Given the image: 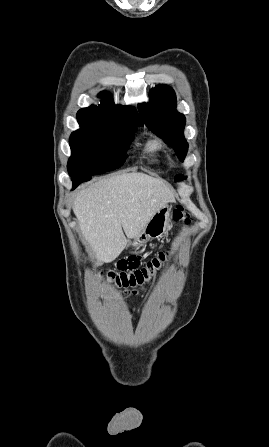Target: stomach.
I'll use <instances>...</instances> for the list:
<instances>
[{
	"mask_svg": "<svg viewBox=\"0 0 269 447\" xmlns=\"http://www.w3.org/2000/svg\"><path fill=\"white\" fill-rule=\"evenodd\" d=\"M170 212V206L165 204L163 208H160L159 212H156V214L152 216L148 224L145 225L143 231H140L136 237H133V239L129 241V245H133V247H140V245H145L149 239L162 237L164 231H166L168 227Z\"/></svg>",
	"mask_w": 269,
	"mask_h": 447,
	"instance_id": "1",
	"label": "stomach"
}]
</instances>
